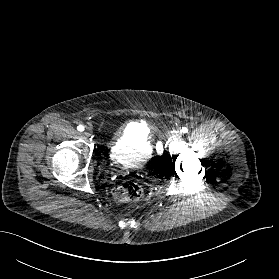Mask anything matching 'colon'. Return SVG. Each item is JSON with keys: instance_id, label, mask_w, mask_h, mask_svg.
<instances>
[{"instance_id": "5ec220e1", "label": "colon", "mask_w": 279, "mask_h": 279, "mask_svg": "<svg viewBox=\"0 0 279 279\" xmlns=\"http://www.w3.org/2000/svg\"><path fill=\"white\" fill-rule=\"evenodd\" d=\"M113 193L117 200L129 203L139 200L144 194V188L138 182L129 181L117 185Z\"/></svg>"}]
</instances>
